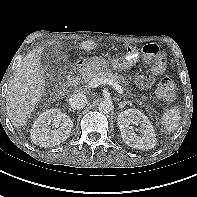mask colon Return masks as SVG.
<instances>
[{
	"label": "colon",
	"instance_id": "colon-1",
	"mask_svg": "<svg viewBox=\"0 0 197 197\" xmlns=\"http://www.w3.org/2000/svg\"><path fill=\"white\" fill-rule=\"evenodd\" d=\"M142 54L148 61H150L155 73L159 74L164 72L167 64L166 56L157 44H146L142 48ZM157 95L167 102H171L175 99V85L170 78L164 77L160 81L157 88Z\"/></svg>",
	"mask_w": 197,
	"mask_h": 197
}]
</instances>
